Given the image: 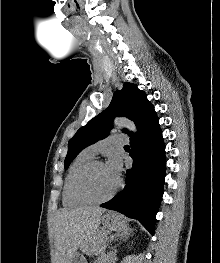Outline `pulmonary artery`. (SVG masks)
I'll return each instance as SVG.
<instances>
[{"label":"pulmonary artery","instance_id":"1","mask_svg":"<svg viewBox=\"0 0 220 263\" xmlns=\"http://www.w3.org/2000/svg\"><path fill=\"white\" fill-rule=\"evenodd\" d=\"M129 141L128 137L125 134H113L109 137L100 140L89 147L85 149L87 153L94 156L96 155L100 150L112 145V144H118V145H124Z\"/></svg>","mask_w":220,"mask_h":263}]
</instances>
